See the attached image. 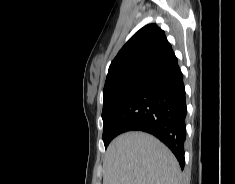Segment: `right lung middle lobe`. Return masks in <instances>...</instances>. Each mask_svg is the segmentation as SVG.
Here are the masks:
<instances>
[{
    "label": "right lung middle lobe",
    "instance_id": "1",
    "mask_svg": "<svg viewBox=\"0 0 235 184\" xmlns=\"http://www.w3.org/2000/svg\"><path fill=\"white\" fill-rule=\"evenodd\" d=\"M143 81L141 77H133L126 80L120 86L111 89L103 94V140L105 148L111 142L113 138L116 137V134L111 132V125L129 92L136 86L140 85Z\"/></svg>",
    "mask_w": 235,
    "mask_h": 184
}]
</instances>
